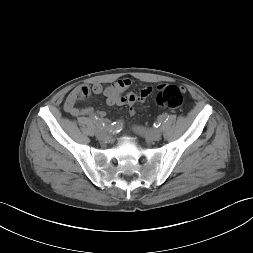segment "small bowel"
Segmentation results:
<instances>
[{
  "mask_svg": "<svg viewBox=\"0 0 253 253\" xmlns=\"http://www.w3.org/2000/svg\"><path fill=\"white\" fill-rule=\"evenodd\" d=\"M131 83L132 82L130 79L123 78L108 86H103L102 84H94L91 89L95 94H103L108 105H128L129 113L133 115L135 113L134 104L144 101L151 94L152 88L146 87L142 89L139 94L127 93L123 95L124 91L130 87ZM82 88L83 87H77L70 92L65 102V111L74 117L80 115L94 117L96 116V113L91 107L78 108L75 106L74 96ZM98 115L101 120H105L104 112L101 111L98 113Z\"/></svg>",
  "mask_w": 253,
  "mask_h": 253,
  "instance_id": "small-bowel-1",
  "label": "small bowel"
}]
</instances>
